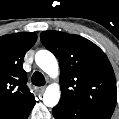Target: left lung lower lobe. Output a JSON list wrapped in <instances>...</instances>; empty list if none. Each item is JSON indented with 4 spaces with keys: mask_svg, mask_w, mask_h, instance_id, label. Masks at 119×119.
<instances>
[{
    "mask_svg": "<svg viewBox=\"0 0 119 119\" xmlns=\"http://www.w3.org/2000/svg\"><path fill=\"white\" fill-rule=\"evenodd\" d=\"M52 113L55 119H110L111 112L83 110L72 104L59 102Z\"/></svg>",
    "mask_w": 119,
    "mask_h": 119,
    "instance_id": "obj_1",
    "label": "left lung lower lobe"
}]
</instances>
